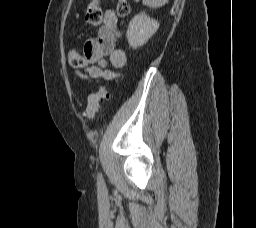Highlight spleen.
Wrapping results in <instances>:
<instances>
[{
    "mask_svg": "<svg viewBox=\"0 0 256 228\" xmlns=\"http://www.w3.org/2000/svg\"><path fill=\"white\" fill-rule=\"evenodd\" d=\"M144 5L149 7H161L165 5L169 0H142Z\"/></svg>",
    "mask_w": 256,
    "mask_h": 228,
    "instance_id": "3e777b00",
    "label": "spleen"
}]
</instances>
